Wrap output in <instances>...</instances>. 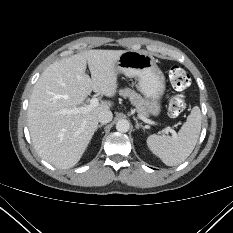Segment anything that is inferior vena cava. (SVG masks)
<instances>
[{"label":"inferior vena cava","mask_w":233,"mask_h":233,"mask_svg":"<svg viewBox=\"0 0 233 233\" xmlns=\"http://www.w3.org/2000/svg\"><path fill=\"white\" fill-rule=\"evenodd\" d=\"M113 118L112 112L110 110H103L98 114V121L101 124L109 123Z\"/></svg>","instance_id":"obj_1"}]
</instances>
